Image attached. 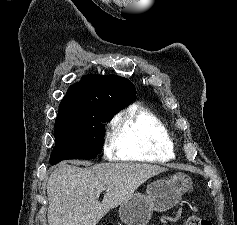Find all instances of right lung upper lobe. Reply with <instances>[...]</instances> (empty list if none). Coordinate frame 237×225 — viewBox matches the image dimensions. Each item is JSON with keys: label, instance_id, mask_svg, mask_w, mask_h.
Wrapping results in <instances>:
<instances>
[{"label": "right lung upper lobe", "instance_id": "obj_1", "mask_svg": "<svg viewBox=\"0 0 237 225\" xmlns=\"http://www.w3.org/2000/svg\"><path fill=\"white\" fill-rule=\"evenodd\" d=\"M135 96V86L126 78L87 75L69 87L56 119L88 122L101 111L117 113L128 106Z\"/></svg>", "mask_w": 237, "mask_h": 225}]
</instances>
